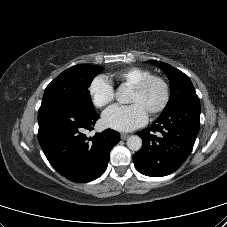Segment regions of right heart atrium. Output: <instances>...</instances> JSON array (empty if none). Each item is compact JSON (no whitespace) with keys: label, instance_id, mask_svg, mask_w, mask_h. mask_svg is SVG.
<instances>
[{"label":"right heart atrium","instance_id":"right-heart-atrium-1","mask_svg":"<svg viewBox=\"0 0 227 227\" xmlns=\"http://www.w3.org/2000/svg\"><path fill=\"white\" fill-rule=\"evenodd\" d=\"M89 95L93 104L98 108H103L114 99V89L109 79L104 75L96 76L90 83Z\"/></svg>","mask_w":227,"mask_h":227}]
</instances>
